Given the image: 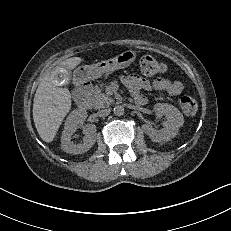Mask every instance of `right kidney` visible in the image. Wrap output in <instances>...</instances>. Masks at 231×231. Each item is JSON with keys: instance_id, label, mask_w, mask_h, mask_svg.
Returning <instances> with one entry per match:
<instances>
[{"instance_id": "1", "label": "right kidney", "mask_w": 231, "mask_h": 231, "mask_svg": "<svg viewBox=\"0 0 231 231\" xmlns=\"http://www.w3.org/2000/svg\"><path fill=\"white\" fill-rule=\"evenodd\" d=\"M87 113L84 110H74L72 111L65 121L64 130L62 132L61 144L62 149L70 154H83L87 152L96 141V126L94 124H89L83 127V142L74 144L71 141L72 135L75 133L77 128L83 125Z\"/></svg>"}]
</instances>
